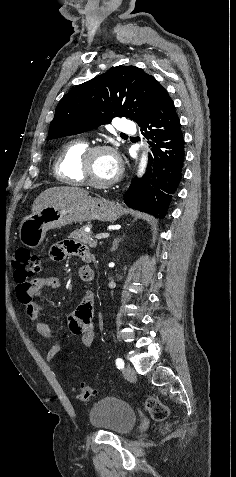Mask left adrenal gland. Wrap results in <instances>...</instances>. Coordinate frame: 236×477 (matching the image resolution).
<instances>
[{
    "instance_id": "obj_1",
    "label": "left adrenal gland",
    "mask_w": 236,
    "mask_h": 477,
    "mask_svg": "<svg viewBox=\"0 0 236 477\" xmlns=\"http://www.w3.org/2000/svg\"><path fill=\"white\" fill-rule=\"evenodd\" d=\"M119 242H120V239H119V238L114 239V241H113V243H112L111 251L117 250L118 245H119Z\"/></svg>"
}]
</instances>
